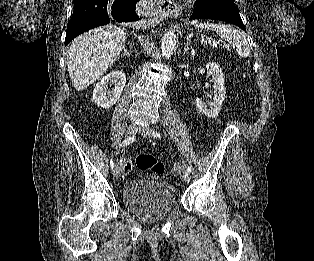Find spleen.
<instances>
[{
	"instance_id": "spleen-1",
	"label": "spleen",
	"mask_w": 314,
	"mask_h": 261,
	"mask_svg": "<svg viewBox=\"0 0 314 261\" xmlns=\"http://www.w3.org/2000/svg\"><path fill=\"white\" fill-rule=\"evenodd\" d=\"M192 25L197 28L215 31L221 39L229 42L236 48L239 56L247 58L251 55L247 39L241 30L226 24L198 23V21H193Z\"/></svg>"
}]
</instances>
